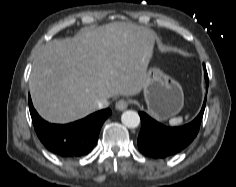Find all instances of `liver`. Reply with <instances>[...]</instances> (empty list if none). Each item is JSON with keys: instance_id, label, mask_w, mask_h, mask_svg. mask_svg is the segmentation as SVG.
<instances>
[{"instance_id": "6515ba94", "label": "liver", "mask_w": 236, "mask_h": 187, "mask_svg": "<svg viewBox=\"0 0 236 187\" xmlns=\"http://www.w3.org/2000/svg\"><path fill=\"white\" fill-rule=\"evenodd\" d=\"M154 38L136 24L113 22L49 41L30 74L35 109L51 123H69L96 111L101 98L140 93Z\"/></svg>"}]
</instances>
